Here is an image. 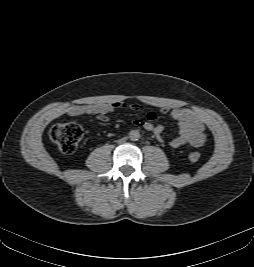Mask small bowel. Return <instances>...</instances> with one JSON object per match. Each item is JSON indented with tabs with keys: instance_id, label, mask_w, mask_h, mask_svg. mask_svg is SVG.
I'll use <instances>...</instances> for the list:
<instances>
[{
	"instance_id": "obj_1",
	"label": "small bowel",
	"mask_w": 254,
	"mask_h": 267,
	"mask_svg": "<svg viewBox=\"0 0 254 267\" xmlns=\"http://www.w3.org/2000/svg\"><path fill=\"white\" fill-rule=\"evenodd\" d=\"M122 107H128L133 111H140L142 105L139 103L127 105L124 102H97L92 104L73 105L68 109V115H91L97 117L101 121H107L108 114ZM161 113L170 114L177 123L178 134L170 141V146L172 148L183 146L195 148L204 144L206 140L205 126L199 116L193 111L185 108L169 109L167 107H162ZM156 118L157 115L154 112H148L144 118L135 119L133 124L153 133L158 140H162L164 127L161 124H154Z\"/></svg>"
}]
</instances>
